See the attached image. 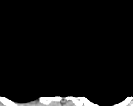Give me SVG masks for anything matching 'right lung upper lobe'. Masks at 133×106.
Instances as JSON below:
<instances>
[{"mask_svg": "<svg viewBox=\"0 0 133 106\" xmlns=\"http://www.w3.org/2000/svg\"><path fill=\"white\" fill-rule=\"evenodd\" d=\"M60 70L34 41L0 54V94L14 102H29L52 89Z\"/></svg>", "mask_w": 133, "mask_h": 106, "instance_id": "right-lung-upper-lobe-1", "label": "right lung upper lobe"}]
</instances>
